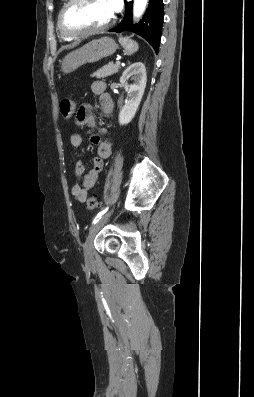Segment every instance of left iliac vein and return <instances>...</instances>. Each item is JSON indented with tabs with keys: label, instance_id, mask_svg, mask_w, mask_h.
I'll list each match as a JSON object with an SVG mask.
<instances>
[{
	"label": "left iliac vein",
	"instance_id": "1",
	"mask_svg": "<svg viewBox=\"0 0 254 397\" xmlns=\"http://www.w3.org/2000/svg\"><path fill=\"white\" fill-rule=\"evenodd\" d=\"M112 211L107 213L104 217H102L96 224H94L90 231L89 234L86 238V241L84 243V256H85V260L86 262H92L93 260V253H92V244H93V240L96 236V234L98 233V231L100 230V228L106 223V221L108 220V218L110 217Z\"/></svg>",
	"mask_w": 254,
	"mask_h": 397
}]
</instances>
